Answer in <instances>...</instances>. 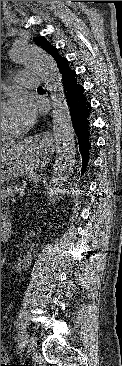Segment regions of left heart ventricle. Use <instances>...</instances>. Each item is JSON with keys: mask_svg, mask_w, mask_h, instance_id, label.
<instances>
[{"mask_svg": "<svg viewBox=\"0 0 122 366\" xmlns=\"http://www.w3.org/2000/svg\"><path fill=\"white\" fill-rule=\"evenodd\" d=\"M17 123L9 110V106L1 107V137L15 135Z\"/></svg>", "mask_w": 122, "mask_h": 366, "instance_id": "left-heart-ventricle-1", "label": "left heart ventricle"}]
</instances>
